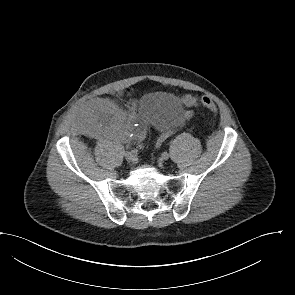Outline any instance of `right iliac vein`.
Here are the masks:
<instances>
[{
  "instance_id": "obj_1",
  "label": "right iliac vein",
  "mask_w": 295,
  "mask_h": 295,
  "mask_svg": "<svg viewBox=\"0 0 295 295\" xmlns=\"http://www.w3.org/2000/svg\"><path fill=\"white\" fill-rule=\"evenodd\" d=\"M125 158L129 163L135 162V155L131 154L130 152L125 153Z\"/></svg>"
}]
</instances>
